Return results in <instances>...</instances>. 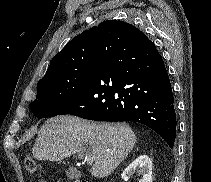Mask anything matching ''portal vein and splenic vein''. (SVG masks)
<instances>
[{"label": "portal vein and splenic vein", "instance_id": "portal-vein-and-splenic-vein-1", "mask_svg": "<svg viewBox=\"0 0 211 182\" xmlns=\"http://www.w3.org/2000/svg\"><path fill=\"white\" fill-rule=\"evenodd\" d=\"M80 157H81V156H80ZM93 158H94V157L91 156V155H86V156H85V160H86V161H92Z\"/></svg>", "mask_w": 211, "mask_h": 182}]
</instances>
